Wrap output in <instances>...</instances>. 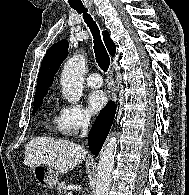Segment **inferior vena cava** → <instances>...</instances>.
<instances>
[{
	"label": "inferior vena cava",
	"instance_id": "obj_1",
	"mask_svg": "<svg viewBox=\"0 0 189 195\" xmlns=\"http://www.w3.org/2000/svg\"><path fill=\"white\" fill-rule=\"evenodd\" d=\"M81 128H82V137H85L88 133V126H89V118L88 117H84L81 119L80 122Z\"/></svg>",
	"mask_w": 189,
	"mask_h": 195
}]
</instances>
